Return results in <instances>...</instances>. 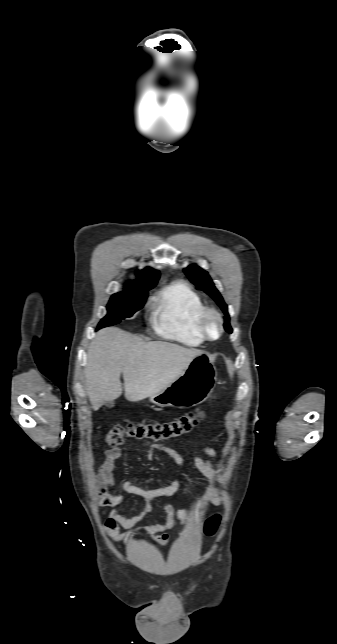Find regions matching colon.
Masks as SVG:
<instances>
[{
    "instance_id": "colon-1",
    "label": "colon",
    "mask_w": 337,
    "mask_h": 644,
    "mask_svg": "<svg viewBox=\"0 0 337 644\" xmlns=\"http://www.w3.org/2000/svg\"><path fill=\"white\" fill-rule=\"evenodd\" d=\"M203 417L204 411L198 409L166 423L127 422L124 425H117L110 429L106 434L105 440L110 447L115 448L121 445L126 437L155 441L177 438L189 433ZM220 523V514L210 516L204 526L206 536H214L219 529Z\"/></svg>"
}]
</instances>
